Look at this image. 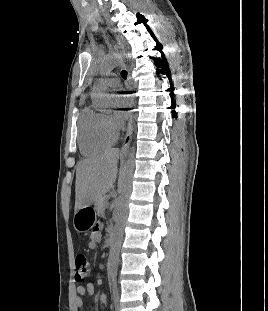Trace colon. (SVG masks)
Returning a JSON list of instances; mask_svg holds the SVG:
<instances>
[{"label": "colon", "mask_w": 268, "mask_h": 311, "mask_svg": "<svg viewBox=\"0 0 268 311\" xmlns=\"http://www.w3.org/2000/svg\"><path fill=\"white\" fill-rule=\"evenodd\" d=\"M76 265V279L80 280L89 275L90 269L86 256L84 254H78L75 258Z\"/></svg>", "instance_id": "obj_1"}]
</instances>
